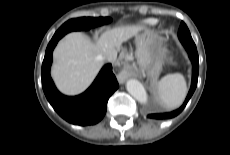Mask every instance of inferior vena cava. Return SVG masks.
Returning a JSON list of instances; mask_svg holds the SVG:
<instances>
[{
	"mask_svg": "<svg viewBox=\"0 0 230 155\" xmlns=\"http://www.w3.org/2000/svg\"><path fill=\"white\" fill-rule=\"evenodd\" d=\"M116 57H117V51L112 50L105 56V60L108 62H114L116 60Z\"/></svg>",
	"mask_w": 230,
	"mask_h": 155,
	"instance_id": "inferior-vena-cava-1",
	"label": "inferior vena cava"
}]
</instances>
